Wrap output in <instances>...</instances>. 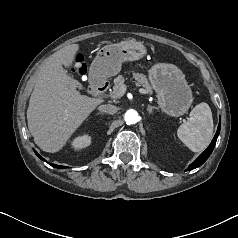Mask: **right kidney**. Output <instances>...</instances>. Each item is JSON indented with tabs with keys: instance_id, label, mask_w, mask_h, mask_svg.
Masks as SVG:
<instances>
[{
	"instance_id": "obj_1",
	"label": "right kidney",
	"mask_w": 238,
	"mask_h": 238,
	"mask_svg": "<svg viewBox=\"0 0 238 238\" xmlns=\"http://www.w3.org/2000/svg\"><path fill=\"white\" fill-rule=\"evenodd\" d=\"M91 144V137L88 134L76 137L72 141V147L76 150L85 148Z\"/></svg>"
}]
</instances>
